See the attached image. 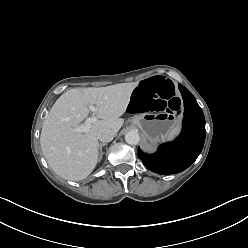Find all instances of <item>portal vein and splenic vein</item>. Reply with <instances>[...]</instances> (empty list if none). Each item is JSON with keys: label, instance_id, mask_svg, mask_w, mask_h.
Instances as JSON below:
<instances>
[{"label": "portal vein and splenic vein", "instance_id": "obj_1", "mask_svg": "<svg viewBox=\"0 0 248 248\" xmlns=\"http://www.w3.org/2000/svg\"><path fill=\"white\" fill-rule=\"evenodd\" d=\"M89 109L93 112L92 117L87 118L86 121L84 122V124L79 125L76 128H74L73 130L75 132H81V133L88 132L90 130L92 124L97 121V116L95 114L96 108L93 105H90Z\"/></svg>", "mask_w": 248, "mask_h": 248}]
</instances>
